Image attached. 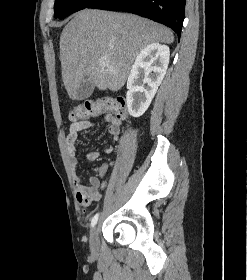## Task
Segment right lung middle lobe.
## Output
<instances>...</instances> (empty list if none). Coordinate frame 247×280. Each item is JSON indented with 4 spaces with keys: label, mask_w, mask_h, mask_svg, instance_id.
I'll list each match as a JSON object with an SVG mask.
<instances>
[{
    "label": "right lung middle lobe",
    "mask_w": 247,
    "mask_h": 280,
    "mask_svg": "<svg viewBox=\"0 0 247 280\" xmlns=\"http://www.w3.org/2000/svg\"><path fill=\"white\" fill-rule=\"evenodd\" d=\"M97 0H56L55 18H64L74 12L91 6Z\"/></svg>",
    "instance_id": "dd1d6c3e"
}]
</instances>
